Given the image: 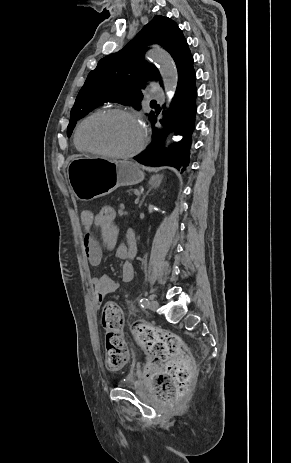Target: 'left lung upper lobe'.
Masks as SVG:
<instances>
[{
  "label": "left lung upper lobe",
  "mask_w": 291,
  "mask_h": 463,
  "mask_svg": "<svg viewBox=\"0 0 291 463\" xmlns=\"http://www.w3.org/2000/svg\"><path fill=\"white\" fill-rule=\"evenodd\" d=\"M152 44H159L170 53L178 78L193 69V57L177 24L170 18L155 16L122 50L102 58L88 74L70 112L68 137L79 119L106 102L140 109L145 83L160 80L158 69L144 60L147 46Z\"/></svg>",
  "instance_id": "1"
}]
</instances>
